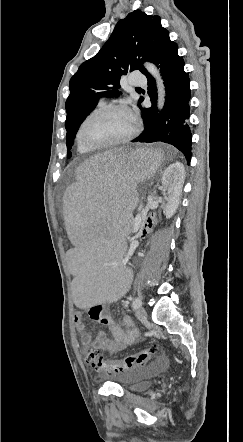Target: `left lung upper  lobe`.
Instances as JSON below:
<instances>
[{
    "mask_svg": "<svg viewBox=\"0 0 243 442\" xmlns=\"http://www.w3.org/2000/svg\"><path fill=\"white\" fill-rule=\"evenodd\" d=\"M167 36L169 32L161 26L159 16L135 10L119 20L101 50L81 64L70 79L65 122L68 150L79 126L94 110L99 98L118 96L120 79L128 72L139 70L144 74L143 62H152ZM67 157H71L70 152Z\"/></svg>",
    "mask_w": 243,
    "mask_h": 442,
    "instance_id": "obj_1",
    "label": "left lung upper lobe"
}]
</instances>
